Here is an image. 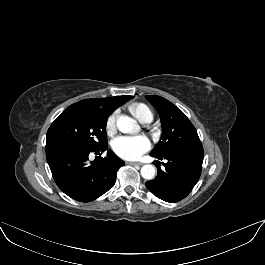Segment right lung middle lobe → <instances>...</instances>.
Instances as JSON below:
<instances>
[{"instance_id":"right-lung-middle-lobe-1","label":"right lung middle lobe","mask_w":265,"mask_h":265,"mask_svg":"<svg viewBox=\"0 0 265 265\" xmlns=\"http://www.w3.org/2000/svg\"><path fill=\"white\" fill-rule=\"evenodd\" d=\"M109 114L97 106L77 102L66 108L51 124L46 147L76 146L98 149L107 145L106 122Z\"/></svg>"}]
</instances>
